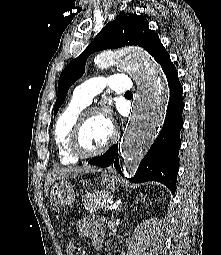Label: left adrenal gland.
<instances>
[{
  "label": "left adrenal gland",
  "instance_id": "left-adrenal-gland-1",
  "mask_svg": "<svg viewBox=\"0 0 221 255\" xmlns=\"http://www.w3.org/2000/svg\"><path fill=\"white\" fill-rule=\"evenodd\" d=\"M137 200H138V198H136V201H135V202H137ZM125 209H126V208H125ZM121 210H122V208H121V206H120V208H118V213L121 212ZM118 213H117V214H118Z\"/></svg>",
  "mask_w": 221,
  "mask_h": 255
}]
</instances>
